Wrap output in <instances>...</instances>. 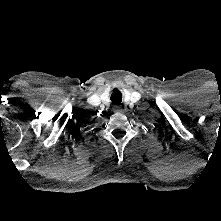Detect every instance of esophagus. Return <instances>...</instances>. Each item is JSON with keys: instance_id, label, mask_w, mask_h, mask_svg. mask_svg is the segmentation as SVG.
I'll return each mask as SVG.
<instances>
[{"instance_id": "34e87169", "label": "esophagus", "mask_w": 221, "mask_h": 221, "mask_svg": "<svg viewBox=\"0 0 221 221\" xmlns=\"http://www.w3.org/2000/svg\"><path fill=\"white\" fill-rule=\"evenodd\" d=\"M113 110H114L115 112H121V111H122V108H121L120 106H118V105H115V106L113 107Z\"/></svg>"}]
</instances>
